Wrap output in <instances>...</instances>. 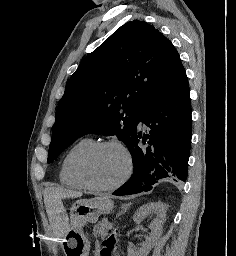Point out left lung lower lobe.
<instances>
[{"label": "left lung lower lobe", "instance_id": "1", "mask_svg": "<svg viewBox=\"0 0 236 256\" xmlns=\"http://www.w3.org/2000/svg\"><path fill=\"white\" fill-rule=\"evenodd\" d=\"M139 122L148 127L146 133L137 128ZM191 122L189 86L183 70L138 115L136 132L128 145L134 173L113 195L150 191L164 178L186 181ZM141 140L146 149L138 145Z\"/></svg>", "mask_w": 236, "mask_h": 256}]
</instances>
